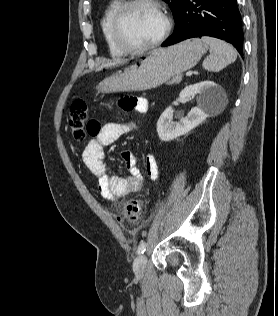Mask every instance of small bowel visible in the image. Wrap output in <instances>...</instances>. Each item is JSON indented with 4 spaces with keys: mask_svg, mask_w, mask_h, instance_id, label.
<instances>
[{
    "mask_svg": "<svg viewBox=\"0 0 278 316\" xmlns=\"http://www.w3.org/2000/svg\"><path fill=\"white\" fill-rule=\"evenodd\" d=\"M119 105L124 111L138 114L145 113L148 109V101L144 98H124L121 99ZM134 126L133 122H112L100 125L99 131L92 135L94 138L87 143L82 152L83 163L95 177L101 196L110 202L140 191L143 185V175L137 167L136 157L132 151L121 152L122 160L128 170L126 176L109 174L104 161V147L131 131ZM145 168L150 180L156 181L159 168L155 156L151 153L146 155Z\"/></svg>",
    "mask_w": 278,
    "mask_h": 316,
    "instance_id": "small-bowel-1",
    "label": "small bowel"
}]
</instances>
